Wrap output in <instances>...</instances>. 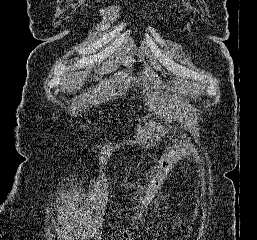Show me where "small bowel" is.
Returning <instances> with one entry per match:
<instances>
[{
  "label": "small bowel",
  "mask_w": 257,
  "mask_h": 240,
  "mask_svg": "<svg viewBox=\"0 0 257 240\" xmlns=\"http://www.w3.org/2000/svg\"><path fill=\"white\" fill-rule=\"evenodd\" d=\"M55 232L57 234L58 240H74V237L71 236L68 231L60 227L59 225L55 226Z\"/></svg>",
  "instance_id": "small-bowel-1"
}]
</instances>
